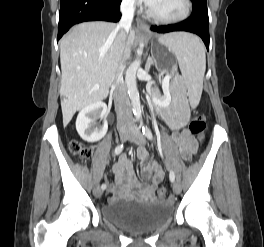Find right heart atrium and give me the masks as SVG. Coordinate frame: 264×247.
<instances>
[{
    "instance_id": "d8ad5b80",
    "label": "right heart atrium",
    "mask_w": 264,
    "mask_h": 247,
    "mask_svg": "<svg viewBox=\"0 0 264 247\" xmlns=\"http://www.w3.org/2000/svg\"><path fill=\"white\" fill-rule=\"evenodd\" d=\"M122 3L127 8H133L136 5V0H122Z\"/></svg>"
}]
</instances>
